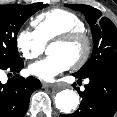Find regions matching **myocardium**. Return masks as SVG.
I'll return each mask as SVG.
<instances>
[{"instance_id":"obj_1","label":"myocardium","mask_w":117,"mask_h":117,"mask_svg":"<svg viewBox=\"0 0 117 117\" xmlns=\"http://www.w3.org/2000/svg\"><path fill=\"white\" fill-rule=\"evenodd\" d=\"M74 43H80L83 45V52L81 56L77 61L71 64L73 69H79L88 62L91 57L93 48L92 40L84 30H75L60 34L50 41L49 46L52 44L69 45Z\"/></svg>"}]
</instances>
